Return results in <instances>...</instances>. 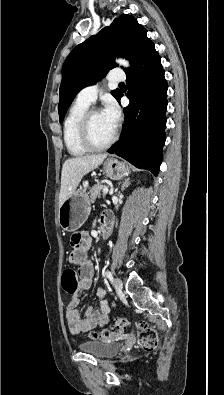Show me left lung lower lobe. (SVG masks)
<instances>
[{
  "mask_svg": "<svg viewBox=\"0 0 224 395\" xmlns=\"http://www.w3.org/2000/svg\"><path fill=\"white\" fill-rule=\"evenodd\" d=\"M130 104L124 108L125 123L121 139L108 152L116 153L155 176L165 143L167 81L161 58L151 42L126 71ZM123 96L122 93L117 100Z\"/></svg>",
  "mask_w": 224,
  "mask_h": 395,
  "instance_id": "0a47b994",
  "label": "left lung lower lobe"
}]
</instances>
